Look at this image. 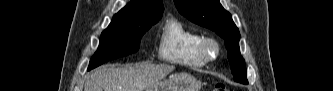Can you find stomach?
<instances>
[{"instance_id": "obj_1", "label": "stomach", "mask_w": 333, "mask_h": 91, "mask_svg": "<svg viewBox=\"0 0 333 91\" xmlns=\"http://www.w3.org/2000/svg\"><path fill=\"white\" fill-rule=\"evenodd\" d=\"M201 82L187 73H175L157 82L147 91H200Z\"/></svg>"}]
</instances>
